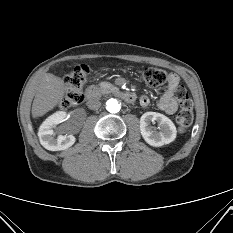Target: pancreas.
<instances>
[{
  "mask_svg": "<svg viewBox=\"0 0 233 233\" xmlns=\"http://www.w3.org/2000/svg\"><path fill=\"white\" fill-rule=\"evenodd\" d=\"M116 87L111 84L110 82L103 81L100 82L98 85H92L87 89V92H93V93H100V94H107L112 91H114Z\"/></svg>",
  "mask_w": 233,
  "mask_h": 233,
  "instance_id": "1",
  "label": "pancreas"
}]
</instances>
